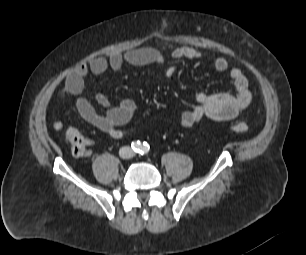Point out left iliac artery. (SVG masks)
I'll use <instances>...</instances> for the list:
<instances>
[{
    "mask_svg": "<svg viewBox=\"0 0 306 255\" xmlns=\"http://www.w3.org/2000/svg\"><path fill=\"white\" fill-rule=\"evenodd\" d=\"M149 149H150L149 145H148L146 142H144V143H143V146H142V148H141V154H146V153H148V152H149Z\"/></svg>",
    "mask_w": 306,
    "mask_h": 255,
    "instance_id": "obj_1",
    "label": "left iliac artery"
}]
</instances>
